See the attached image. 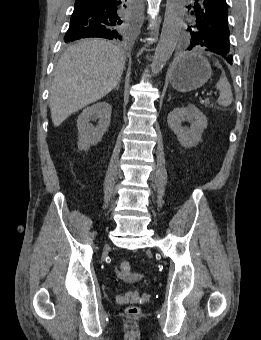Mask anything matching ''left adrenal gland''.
I'll use <instances>...</instances> for the list:
<instances>
[{
  "mask_svg": "<svg viewBox=\"0 0 261 340\" xmlns=\"http://www.w3.org/2000/svg\"><path fill=\"white\" fill-rule=\"evenodd\" d=\"M172 98H171V95H169V99L168 100H171Z\"/></svg>",
  "mask_w": 261,
  "mask_h": 340,
  "instance_id": "left-adrenal-gland-1",
  "label": "left adrenal gland"
}]
</instances>
